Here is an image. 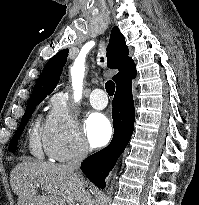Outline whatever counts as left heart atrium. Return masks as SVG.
<instances>
[{
	"mask_svg": "<svg viewBox=\"0 0 199 205\" xmlns=\"http://www.w3.org/2000/svg\"><path fill=\"white\" fill-rule=\"evenodd\" d=\"M85 131L91 145L100 147L111 138L112 127L108 118L101 113H92L86 120Z\"/></svg>",
	"mask_w": 199,
	"mask_h": 205,
	"instance_id": "1",
	"label": "left heart atrium"
}]
</instances>
